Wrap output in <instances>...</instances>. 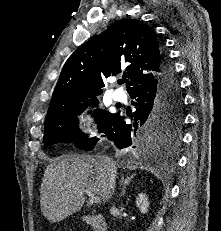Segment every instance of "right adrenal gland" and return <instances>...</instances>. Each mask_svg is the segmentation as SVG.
<instances>
[{
  "label": "right adrenal gland",
  "mask_w": 221,
  "mask_h": 231,
  "mask_svg": "<svg viewBox=\"0 0 221 231\" xmlns=\"http://www.w3.org/2000/svg\"><path fill=\"white\" fill-rule=\"evenodd\" d=\"M136 174H133L131 176H128L126 178H124V176L121 177V181H120V185H122V189H121V193H120V197H123L125 192H126V187L129 185L130 181L132 180V178L135 176Z\"/></svg>",
  "instance_id": "right-adrenal-gland-1"
}]
</instances>
